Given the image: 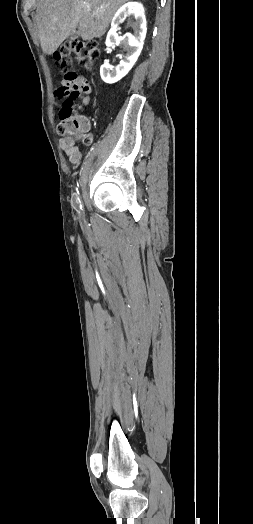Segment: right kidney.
Returning <instances> with one entry per match:
<instances>
[{
	"instance_id": "obj_1",
	"label": "right kidney",
	"mask_w": 253,
	"mask_h": 524,
	"mask_svg": "<svg viewBox=\"0 0 253 524\" xmlns=\"http://www.w3.org/2000/svg\"><path fill=\"white\" fill-rule=\"evenodd\" d=\"M126 17H134L135 22L132 24L134 33H126L123 36L117 34L119 23ZM146 19L144 8L141 3L129 2L123 5L114 15L111 23V29L107 34L106 46L114 47L121 45L126 55L120 64L113 68L109 64H104L100 68V76L106 83H115L123 78L137 61L143 48L146 37Z\"/></svg>"
}]
</instances>
